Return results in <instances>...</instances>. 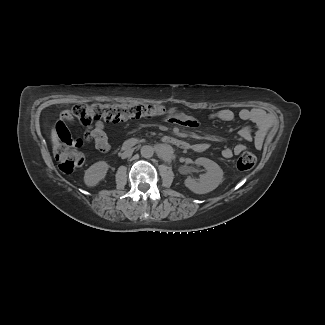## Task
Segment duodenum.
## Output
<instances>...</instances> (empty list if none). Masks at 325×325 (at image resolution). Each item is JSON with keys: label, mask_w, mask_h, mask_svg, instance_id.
<instances>
[{"label": "duodenum", "mask_w": 325, "mask_h": 325, "mask_svg": "<svg viewBox=\"0 0 325 325\" xmlns=\"http://www.w3.org/2000/svg\"><path fill=\"white\" fill-rule=\"evenodd\" d=\"M163 142L165 144H169V145L175 146L180 149H188L189 148V144L187 142H185L181 139H178L176 137H172V136H164ZM137 143H138V140H136V139H128L122 144V148L124 150H127L130 148H133L135 145H137Z\"/></svg>", "instance_id": "410a0bca"}]
</instances>
